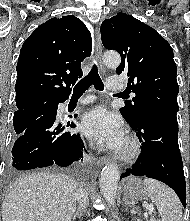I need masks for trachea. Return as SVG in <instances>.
I'll return each instance as SVG.
<instances>
[{
    "label": "trachea",
    "mask_w": 190,
    "mask_h": 221,
    "mask_svg": "<svg viewBox=\"0 0 190 221\" xmlns=\"http://www.w3.org/2000/svg\"><path fill=\"white\" fill-rule=\"evenodd\" d=\"M91 85H94L96 90H104V84L98 74L96 65H93L89 74L74 86L73 95L81 96Z\"/></svg>",
    "instance_id": "trachea-1"
}]
</instances>
